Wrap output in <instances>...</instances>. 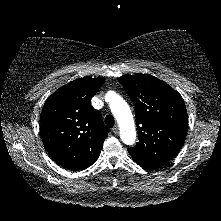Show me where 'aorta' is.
I'll use <instances>...</instances> for the list:
<instances>
[{"instance_id": "obj_1", "label": "aorta", "mask_w": 221, "mask_h": 221, "mask_svg": "<svg viewBox=\"0 0 221 221\" xmlns=\"http://www.w3.org/2000/svg\"><path fill=\"white\" fill-rule=\"evenodd\" d=\"M112 99L110 109L114 114L119 128L120 138L126 145H132L136 140V130L132 112L127 102L115 92H109Z\"/></svg>"}]
</instances>
